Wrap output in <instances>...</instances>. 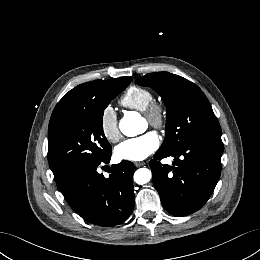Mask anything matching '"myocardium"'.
Segmentation results:
<instances>
[{
    "label": "myocardium",
    "instance_id": "myocardium-1",
    "mask_svg": "<svg viewBox=\"0 0 260 260\" xmlns=\"http://www.w3.org/2000/svg\"><path fill=\"white\" fill-rule=\"evenodd\" d=\"M148 123L158 130L166 127L167 111L164 103L153 100L143 111Z\"/></svg>",
    "mask_w": 260,
    "mask_h": 260
}]
</instances>
